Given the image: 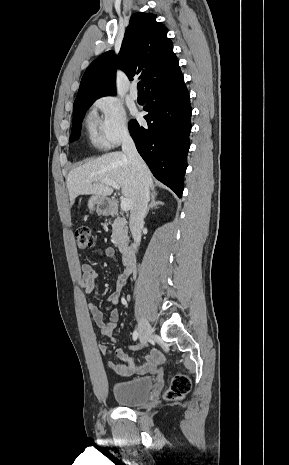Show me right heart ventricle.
I'll return each instance as SVG.
<instances>
[{
  "label": "right heart ventricle",
  "mask_w": 289,
  "mask_h": 465,
  "mask_svg": "<svg viewBox=\"0 0 289 465\" xmlns=\"http://www.w3.org/2000/svg\"><path fill=\"white\" fill-rule=\"evenodd\" d=\"M86 129L89 141L94 147L102 149L108 146L101 132L100 120L94 111L86 118Z\"/></svg>",
  "instance_id": "right-heart-ventricle-1"
}]
</instances>
